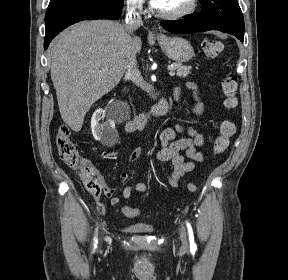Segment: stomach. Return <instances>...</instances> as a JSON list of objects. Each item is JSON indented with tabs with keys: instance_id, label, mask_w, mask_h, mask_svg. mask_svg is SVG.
<instances>
[{
	"instance_id": "stomach-1",
	"label": "stomach",
	"mask_w": 288,
	"mask_h": 280,
	"mask_svg": "<svg viewBox=\"0 0 288 280\" xmlns=\"http://www.w3.org/2000/svg\"><path fill=\"white\" fill-rule=\"evenodd\" d=\"M157 40L164 53L178 63L188 62L194 56L192 45L184 38L160 35Z\"/></svg>"
}]
</instances>
